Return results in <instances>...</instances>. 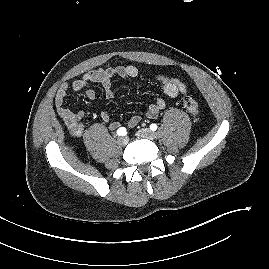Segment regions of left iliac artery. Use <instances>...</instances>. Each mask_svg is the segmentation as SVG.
<instances>
[{
	"instance_id": "obj_1",
	"label": "left iliac artery",
	"mask_w": 269,
	"mask_h": 269,
	"mask_svg": "<svg viewBox=\"0 0 269 269\" xmlns=\"http://www.w3.org/2000/svg\"><path fill=\"white\" fill-rule=\"evenodd\" d=\"M150 129H151L152 131H155V130L157 129V125H156L155 123L151 124V125H150Z\"/></svg>"
}]
</instances>
